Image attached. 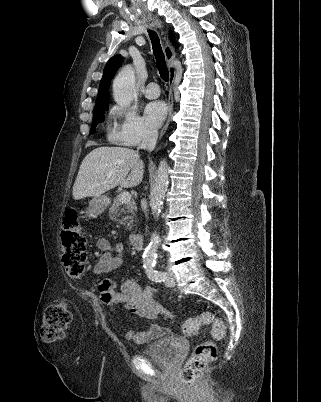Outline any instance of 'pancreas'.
Wrapping results in <instances>:
<instances>
[{
  "label": "pancreas",
  "mask_w": 321,
  "mask_h": 402,
  "mask_svg": "<svg viewBox=\"0 0 321 402\" xmlns=\"http://www.w3.org/2000/svg\"><path fill=\"white\" fill-rule=\"evenodd\" d=\"M137 212L136 202L130 200L127 203H122L119 196H116L113 200L112 206L109 208V216L111 219L116 220V216L121 213L124 216L118 220L120 224L127 226V229L131 230L133 228V219Z\"/></svg>",
  "instance_id": "cf45deb5"
}]
</instances>
